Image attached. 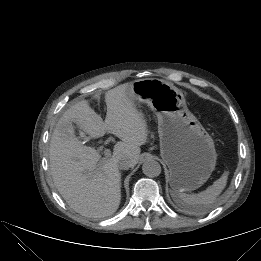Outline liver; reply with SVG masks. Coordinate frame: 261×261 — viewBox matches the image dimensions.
<instances>
[{"label": "liver", "mask_w": 261, "mask_h": 261, "mask_svg": "<svg viewBox=\"0 0 261 261\" xmlns=\"http://www.w3.org/2000/svg\"><path fill=\"white\" fill-rule=\"evenodd\" d=\"M131 87L132 83H125L105 93V121L88 100H82L63 114L53 131L49 158L54 184L68 205L83 216L101 218L117 211L121 201L118 162L127 158L135 166L140 146L147 142V123L129 97ZM73 123L91 138L109 132L121 141L110 158L101 159L95 148L83 145L74 135Z\"/></svg>", "instance_id": "1"}]
</instances>
